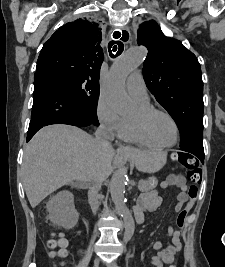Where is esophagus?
<instances>
[{"label":"esophagus","instance_id":"34e87169","mask_svg":"<svg viewBox=\"0 0 225 267\" xmlns=\"http://www.w3.org/2000/svg\"><path fill=\"white\" fill-rule=\"evenodd\" d=\"M116 31H119L120 33H121V38H122V36H123V32H126V33H128V39L127 40H125L124 42H127L129 39H130V32H129V30L126 28V27H122L121 29H115V30H113V32L111 33V38L112 39H116L115 38V32ZM119 150H123L124 149V147L123 146H119V148H118Z\"/></svg>","mask_w":225,"mask_h":267}]
</instances>
